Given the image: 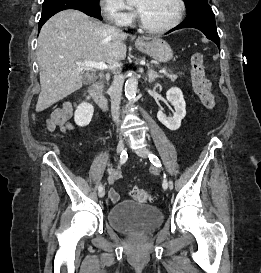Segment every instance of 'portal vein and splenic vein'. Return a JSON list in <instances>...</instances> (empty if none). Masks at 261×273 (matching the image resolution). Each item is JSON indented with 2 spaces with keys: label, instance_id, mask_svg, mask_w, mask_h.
Returning a JSON list of instances; mask_svg holds the SVG:
<instances>
[{
  "label": "portal vein and splenic vein",
  "instance_id": "obj_1",
  "mask_svg": "<svg viewBox=\"0 0 261 273\" xmlns=\"http://www.w3.org/2000/svg\"><path fill=\"white\" fill-rule=\"evenodd\" d=\"M76 64L80 67H83L85 69H92V68H96V69H100V70H104V69H108L110 68L106 63L104 62H93V61H83V62H76ZM160 73H166L167 71L165 69H162L159 71Z\"/></svg>",
  "mask_w": 261,
  "mask_h": 273
}]
</instances>
